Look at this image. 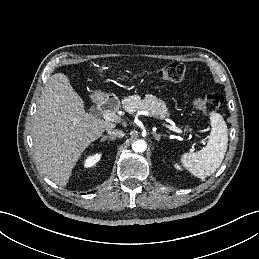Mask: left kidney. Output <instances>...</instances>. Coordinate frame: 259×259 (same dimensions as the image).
<instances>
[{
  "label": "left kidney",
  "instance_id": "1",
  "mask_svg": "<svg viewBox=\"0 0 259 259\" xmlns=\"http://www.w3.org/2000/svg\"><path fill=\"white\" fill-rule=\"evenodd\" d=\"M174 167H175L176 169L181 170V167H180L178 164H175Z\"/></svg>",
  "mask_w": 259,
  "mask_h": 259
}]
</instances>
